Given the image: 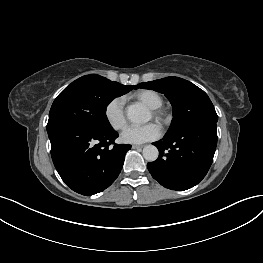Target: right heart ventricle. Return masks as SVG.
I'll use <instances>...</instances> for the list:
<instances>
[{"instance_id": "e07e8e85", "label": "right heart ventricle", "mask_w": 263, "mask_h": 263, "mask_svg": "<svg viewBox=\"0 0 263 263\" xmlns=\"http://www.w3.org/2000/svg\"><path fill=\"white\" fill-rule=\"evenodd\" d=\"M135 97L151 109L159 108L163 104L161 95L153 90H140L135 94Z\"/></svg>"}]
</instances>
